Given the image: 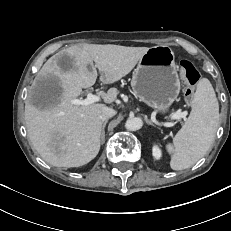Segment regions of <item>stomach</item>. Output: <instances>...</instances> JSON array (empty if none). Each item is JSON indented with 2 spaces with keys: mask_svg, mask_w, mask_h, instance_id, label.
Listing matches in <instances>:
<instances>
[{
  "mask_svg": "<svg viewBox=\"0 0 231 231\" xmlns=\"http://www.w3.org/2000/svg\"><path fill=\"white\" fill-rule=\"evenodd\" d=\"M180 86L175 55L168 46L149 48L138 61L131 80L133 94L162 114L177 99Z\"/></svg>",
  "mask_w": 231,
  "mask_h": 231,
  "instance_id": "obj_1",
  "label": "stomach"
}]
</instances>
